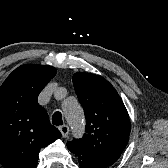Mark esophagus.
Listing matches in <instances>:
<instances>
[{
	"label": "esophagus",
	"instance_id": "34e87169",
	"mask_svg": "<svg viewBox=\"0 0 168 168\" xmlns=\"http://www.w3.org/2000/svg\"><path fill=\"white\" fill-rule=\"evenodd\" d=\"M59 130L64 137H66L69 133V127L67 125L60 126Z\"/></svg>",
	"mask_w": 168,
	"mask_h": 168
}]
</instances>
